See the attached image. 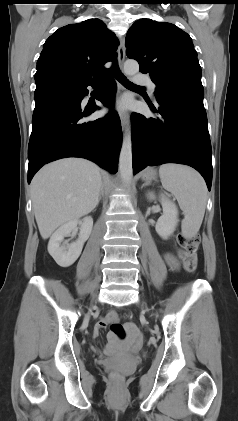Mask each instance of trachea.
Here are the masks:
<instances>
[{"label":"trachea","mask_w":238,"mask_h":421,"mask_svg":"<svg viewBox=\"0 0 238 421\" xmlns=\"http://www.w3.org/2000/svg\"><path fill=\"white\" fill-rule=\"evenodd\" d=\"M109 75L115 76V78L125 87L130 88H142L136 84L130 82L120 71L116 62H114L113 66L109 71Z\"/></svg>","instance_id":"1"}]
</instances>
